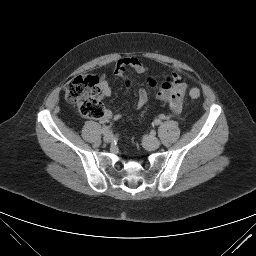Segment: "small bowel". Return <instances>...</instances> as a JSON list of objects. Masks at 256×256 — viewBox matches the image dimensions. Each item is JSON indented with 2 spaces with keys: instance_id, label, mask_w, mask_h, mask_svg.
I'll use <instances>...</instances> for the list:
<instances>
[{
  "instance_id": "small-bowel-1",
  "label": "small bowel",
  "mask_w": 256,
  "mask_h": 256,
  "mask_svg": "<svg viewBox=\"0 0 256 256\" xmlns=\"http://www.w3.org/2000/svg\"><path fill=\"white\" fill-rule=\"evenodd\" d=\"M127 68H132L138 73H145L148 69L144 63L135 57H126L119 60L115 67V74L121 77L125 76ZM151 86H156V82L153 79H149ZM127 88L130 87V81L125 80ZM101 95L103 98L111 95V88L105 77L101 78L100 81ZM187 90V84L181 74L177 71H173L169 77L159 85L157 92V99L168 103L170 109L179 114L182 110L183 98ZM148 100V93L145 89H140L137 93V105L142 107ZM122 118L121 114H112L110 111H106L105 116L102 118V122L106 123L110 120H119Z\"/></svg>"
}]
</instances>
